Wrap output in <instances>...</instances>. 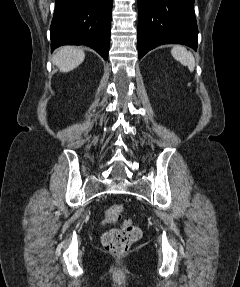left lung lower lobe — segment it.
<instances>
[{
  "label": "left lung lower lobe",
  "instance_id": "left-lung-lower-lobe-1",
  "mask_svg": "<svg viewBox=\"0 0 240 287\" xmlns=\"http://www.w3.org/2000/svg\"><path fill=\"white\" fill-rule=\"evenodd\" d=\"M194 0H138V57L162 44L197 50Z\"/></svg>",
  "mask_w": 240,
  "mask_h": 287
}]
</instances>
